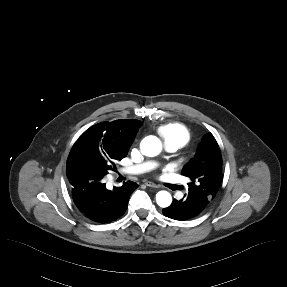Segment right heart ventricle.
Wrapping results in <instances>:
<instances>
[{
  "instance_id": "e07e8e85",
  "label": "right heart ventricle",
  "mask_w": 287,
  "mask_h": 287,
  "mask_svg": "<svg viewBox=\"0 0 287 287\" xmlns=\"http://www.w3.org/2000/svg\"><path fill=\"white\" fill-rule=\"evenodd\" d=\"M164 144L175 145L178 149L185 146L190 140L187 127L181 123H168L158 128Z\"/></svg>"
}]
</instances>
